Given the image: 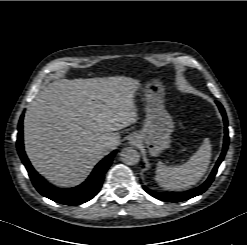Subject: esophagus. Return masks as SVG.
Wrapping results in <instances>:
<instances>
[{
	"label": "esophagus",
	"instance_id": "obj_1",
	"mask_svg": "<svg viewBox=\"0 0 247 245\" xmlns=\"http://www.w3.org/2000/svg\"><path fill=\"white\" fill-rule=\"evenodd\" d=\"M140 142H141V140H140V138H139V136L137 134H133L129 138V144L131 146L136 147V146H138L140 144Z\"/></svg>",
	"mask_w": 247,
	"mask_h": 245
}]
</instances>
